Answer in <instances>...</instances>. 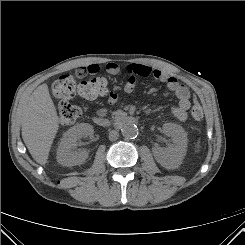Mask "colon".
I'll use <instances>...</instances> for the list:
<instances>
[{"label":"colon","mask_w":245,"mask_h":245,"mask_svg":"<svg viewBox=\"0 0 245 245\" xmlns=\"http://www.w3.org/2000/svg\"><path fill=\"white\" fill-rule=\"evenodd\" d=\"M108 91V82L105 77L98 76L82 81L79 85L74 76L65 74L60 76L52 86V94L59 100L57 105L60 122L63 125L74 123L82 114V108L71 104V99L76 92L84 98L94 99L106 94ZM192 116L200 121L203 118V109L194 98L192 107Z\"/></svg>","instance_id":"1"}]
</instances>
